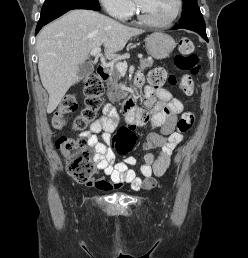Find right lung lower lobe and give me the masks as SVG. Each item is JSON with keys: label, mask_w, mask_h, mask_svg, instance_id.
<instances>
[{"label": "right lung lower lobe", "mask_w": 248, "mask_h": 258, "mask_svg": "<svg viewBox=\"0 0 248 258\" xmlns=\"http://www.w3.org/2000/svg\"><path fill=\"white\" fill-rule=\"evenodd\" d=\"M72 9H90V10L99 11L100 6H99V4H93V3H87V2L79 3V4H75L73 6H68V7L50 12L43 16H40V19H39L37 27H36L35 34H37L44 25H46L47 23L53 21L54 19L60 17L61 15H63L64 13H66L67 11L72 10Z\"/></svg>", "instance_id": "right-lung-lower-lobe-1"}]
</instances>
